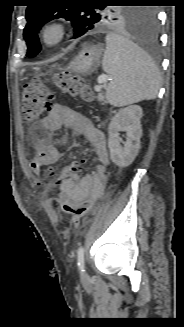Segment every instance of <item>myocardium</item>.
<instances>
[{"label": "myocardium", "instance_id": "myocardium-1", "mask_svg": "<svg viewBox=\"0 0 184 327\" xmlns=\"http://www.w3.org/2000/svg\"><path fill=\"white\" fill-rule=\"evenodd\" d=\"M66 36V26L62 21L51 20L44 23L39 30V39L47 47L60 44Z\"/></svg>", "mask_w": 184, "mask_h": 327}]
</instances>
